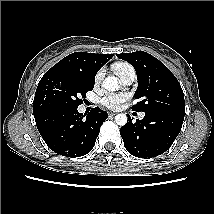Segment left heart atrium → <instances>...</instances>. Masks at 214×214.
<instances>
[{
	"label": "left heart atrium",
	"mask_w": 214,
	"mask_h": 214,
	"mask_svg": "<svg viewBox=\"0 0 214 214\" xmlns=\"http://www.w3.org/2000/svg\"><path fill=\"white\" fill-rule=\"evenodd\" d=\"M129 98L128 93H110L101 98L100 102L109 109H119Z\"/></svg>",
	"instance_id": "left-heart-atrium-1"
}]
</instances>
